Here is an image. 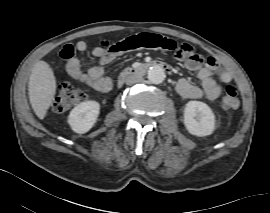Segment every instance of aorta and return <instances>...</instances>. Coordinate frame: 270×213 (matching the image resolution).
<instances>
[{"label":"aorta","instance_id":"aorta-1","mask_svg":"<svg viewBox=\"0 0 270 213\" xmlns=\"http://www.w3.org/2000/svg\"><path fill=\"white\" fill-rule=\"evenodd\" d=\"M148 80L152 84H160L164 81L165 79V72L162 67L160 66H153L150 67L147 73Z\"/></svg>","mask_w":270,"mask_h":213}]
</instances>
